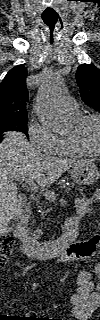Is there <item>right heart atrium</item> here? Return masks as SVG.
<instances>
[{"label":"right heart atrium","instance_id":"1","mask_svg":"<svg viewBox=\"0 0 100 320\" xmlns=\"http://www.w3.org/2000/svg\"><path fill=\"white\" fill-rule=\"evenodd\" d=\"M27 133L31 144L41 152L52 153L57 136L44 124L33 119L28 124Z\"/></svg>","mask_w":100,"mask_h":320}]
</instances>
